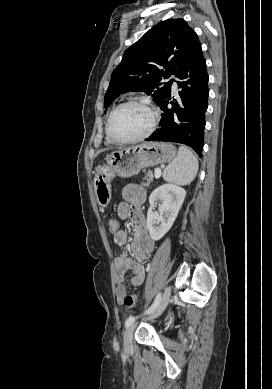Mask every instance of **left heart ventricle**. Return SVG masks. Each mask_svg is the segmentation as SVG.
Wrapping results in <instances>:
<instances>
[{
    "instance_id": "left-heart-ventricle-1",
    "label": "left heart ventricle",
    "mask_w": 272,
    "mask_h": 389,
    "mask_svg": "<svg viewBox=\"0 0 272 389\" xmlns=\"http://www.w3.org/2000/svg\"><path fill=\"white\" fill-rule=\"evenodd\" d=\"M150 120V114L145 108L139 105H127L114 115L111 129L118 138H131L146 131Z\"/></svg>"
}]
</instances>
